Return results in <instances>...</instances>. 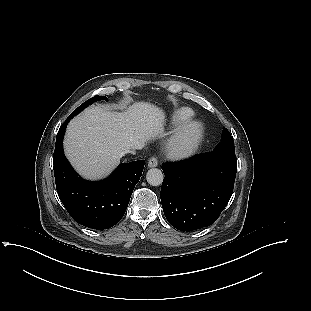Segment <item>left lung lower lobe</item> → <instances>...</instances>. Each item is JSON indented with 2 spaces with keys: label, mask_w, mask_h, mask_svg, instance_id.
Masks as SVG:
<instances>
[{
  "label": "left lung lower lobe",
  "mask_w": 311,
  "mask_h": 311,
  "mask_svg": "<svg viewBox=\"0 0 311 311\" xmlns=\"http://www.w3.org/2000/svg\"><path fill=\"white\" fill-rule=\"evenodd\" d=\"M161 202L168 222L180 231L213 224L229 202L237 172L235 155L207 152L165 163Z\"/></svg>",
  "instance_id": "obj_1"
}]
</instances>
